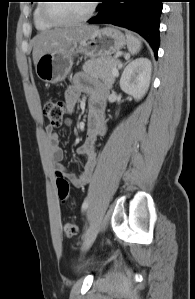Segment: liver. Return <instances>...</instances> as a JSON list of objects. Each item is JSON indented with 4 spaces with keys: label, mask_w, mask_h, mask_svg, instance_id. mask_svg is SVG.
Here are the masks:
<instances>
[{
    "label": "liver",
    "mask_w": 195,
    "mask_h": 299,
    "mask_svg": "<svg viewBox=\"0 0 195 299\" xmlns=\"http://www.w3.org/2000/svg\"><path fill=\"white\" fill-rule=\"evenodd\" d=\"M96 26L79 25L65 27L37 34L33 39V61L37 65L38 60L44 54L62 51L86 38Z\"/></svg>",
    "instance_id": "liver-1"
}]
</instances>
